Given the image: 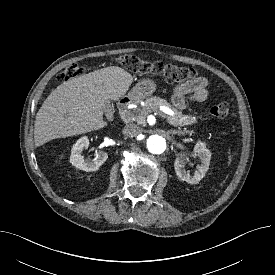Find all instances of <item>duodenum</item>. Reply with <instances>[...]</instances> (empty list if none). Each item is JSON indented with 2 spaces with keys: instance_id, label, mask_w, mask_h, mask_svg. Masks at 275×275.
I'll return each mask as SVG.
<instances>
[{
  "instance_id": "duodenum-1",
  "label": "duodenum",
  "mask_w": 275,
  "mask_h": 275,
  "mask_svg": "<svg viewBox=\"0 0 275 275\" xmlns=\"http://www.w3.org/2000/svg\"><path fill=\"white\" fill-rule=\"evenodd\" d=\"M134 102V98L133 97H124L120 100L119 104H118V109L119 112L122 116H125L130 105Z\"/></svg>"
}]
</instances>
